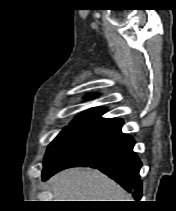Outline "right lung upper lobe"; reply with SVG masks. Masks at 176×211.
<instances>
[{
	"mask_svg": "<svg viewBox=\"0 0 176 211\" xmlns=\"http://www.w3.org/2000/svg\"><path fill=\"white\" fill-rule=\"evenodd\" d=\"M97 95L96 94H90L86 98L87 99H93ZM106 111L105 108H91L87 110L86 112L82 113L79 117L76 118L75 121L82 122V123H94L96 125H99L101 123H104L110 119H104L100 116Z\"/></svg>",
	"mask_w": 176,
	"mask_h": 211,
	"instance_id": "cb5924a9",
	"label": "right lung upper lobe"
}]
</instances>
